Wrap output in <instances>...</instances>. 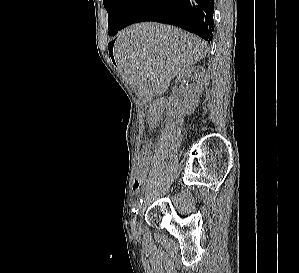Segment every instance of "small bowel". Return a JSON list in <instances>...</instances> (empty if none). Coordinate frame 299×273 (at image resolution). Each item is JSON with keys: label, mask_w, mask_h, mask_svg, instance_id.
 <instances>
[{"label": "small bowel", "mask_w": 299, "mask_h": 273, "mask_svg": "<svg viewBox=\"0 0 299 273\" xmlns=\"http://www.w3.org/2000/svg\"><path fill=\"white\" fill-rule=\"evenodd\" d=\"M160 120V116L158 112L154 109H151L148 111L147 114V122L151 128H155L158 126ZM152 161V153L150 151L142 150L140 154V163H139V169L137 171L138 175L134 180L133 184V190L135 192H140L147 181V168L148 165Z\"/></svg>", "instance_id": "obj_1"}]
</instances>
